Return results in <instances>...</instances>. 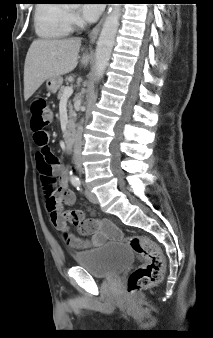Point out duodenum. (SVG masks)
Here are the masks:
<instances>
[{"mask_svg": "<svg viewBox=\"0 0 213 338\" xmlns=\"http://www.w3.org/2000/svg\"><path fill=\"white\" fill-rule=\"evenodd\" d=\"M74 132H75V127L73 125H69L67 132H66V136H65V145L67 149H71L73 146Z\"/></svg>", "mask_w": 213, "mask_h": 338, "instance_id": "410a0bca", "label": "duodenum"}]
</instances>
